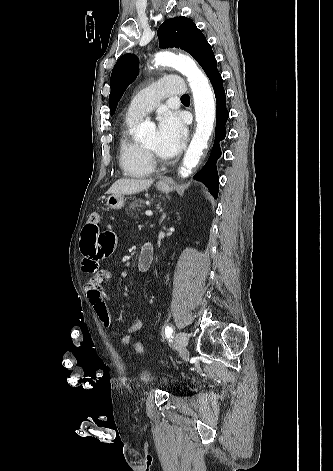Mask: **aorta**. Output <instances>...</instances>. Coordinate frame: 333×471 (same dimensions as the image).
<instances>
[{
    "instance_id": "1",
    "label": "aorta",
    "mask_w": 333,
    "mask_h": 471,
    "mask_svg": "<svg viewBox=\"0 0 333 471\" xmlns=\"http://www.w3.org/2000/svg\"><path fill=\"white\" fill-rule=\"evenodd\" d=\"M154 61L156 65H170L186 76L193 93L197 128L179 171L181 177L185 178L198 164L211 135L216 114L214 94L207 77L191 58L163 51L156 54ZM153 128L152 123L143 122L137 128L136 136L145 138Z\"/></svg>"
}]
</instances>
